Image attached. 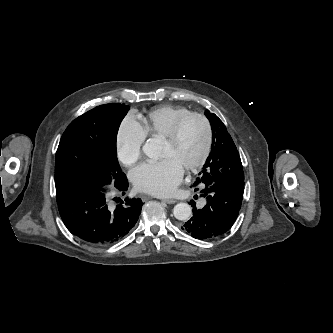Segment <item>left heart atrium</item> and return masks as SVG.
I'll list each match as a JSON object with an SVG mask.
<instances>
[{
	"label": "left heart atrium",
	"mask_w": 333,
	"mask_h": 333,
	"mask_svg": "<svg viewBox=\"0 0 333 333\" xmlns=\"http://www.w3.org/2000/svg\"><path fill=\"white\" fill-rule=\"evenodd\" d=\"M183 177V168L173 158L144 162L130 172L134 187L157 196L170 195Z\"/></svg>",
	"instance_id": "1"
}]
</instances>
